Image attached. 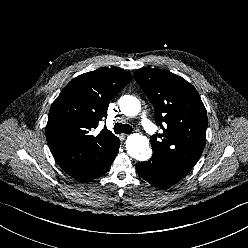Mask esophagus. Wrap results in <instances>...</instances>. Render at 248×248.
I'll return each instance as SVG.
<instances>
[{
	"instance_id": "34e87169",
	"label": "esophagus",
	"mask_w": 248,
	"mask_h": 248,
	"mask_svg": "<svg viewBox=\"0 0 248 248\" xmlns=\"http://www.w3.org/2000/svg\"><path fill=\"white\" fill-rule=\"evenodd\" d=\"M127 136H128V134H125V133L124 134H121V138L122 139H125Z\"/></svg>"
}]
</instances>
